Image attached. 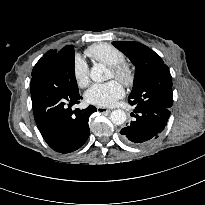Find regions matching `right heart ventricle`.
<instances>
[{
	"label": "right heart ventricle",
	"mask_w": 205,
	"mask_h": 205,
	"mask_svg": "<svg viewBox=\"0 0 205 205\" xmlns=\"http://www.w3.org/2000/svg\"><path fill=\"white\" fill-rule=\"evenodd\" d=\"M86 55L94 62L113 66L125 62V54L112 44L100 42L89 46Z\"/></svg>",
	"instance_id": "1"
}]
</instances>
